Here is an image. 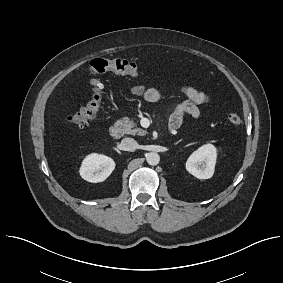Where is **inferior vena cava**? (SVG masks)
Returning <instances> with one entry per match:
<instances>
[{
	"mask_svg": "<svg viewBox=\"0 0 283 283\" xmlns=\"http://www.w3.org/2000/svg\"><path fill=\"white\" fill-rule=\"evenodd\" d=\"M121 147L125 151H134L138 148V143L133 138H124L121 141Z\"/></svg>",
	"mask_w": 283,
	"mask_h": 283,
	"instance_id": "602c4592",
	"label": "inferior vena cava"
}]
</instances>
